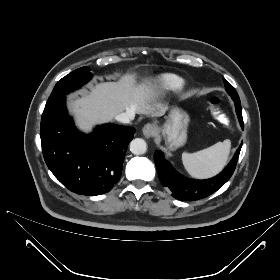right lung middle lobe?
I'll return each mask as SVG.
<instances>
[{"mask_svg":"<svg viewBox=\"0 0 280 280\" xmlns=\"http://www.w3.org/2000/svg\"><path fill=\"white\" fill-rule=\"evenodd\" d=\"M91 77L92 74L89 71V68L86 66L69 73L57 82L48 99V103L59 98H64L65 95H67L72 90L78 89L79 87L87 83L91 79Z\"/></svg>","mask_w":280,"mask_h":280,"instance_id":"obj_1","label":"right lung middle lobe"}]
</instances>
